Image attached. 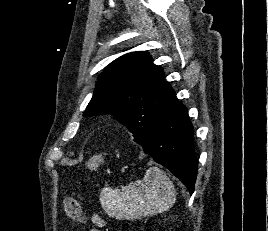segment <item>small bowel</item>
<instances>
[{
	"instance_id": "obj_1",
	"label": "small bowel",
	"mask_w": 268,
	"mask_h": 231,
	"mask_svg": "<svg viewBox=\"0 0 268 231\" xmlns=\"http://www.w3.org/2000/svg\"><path fill=\"white\" fill-rule=\"evenodd\" d=\"M93 221L96 224V226H101L102 225V219L98 215L93 216ZM92 231H97V229H93Z\"/></svg>"
}]
</instances>
